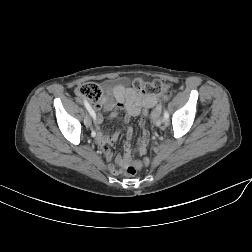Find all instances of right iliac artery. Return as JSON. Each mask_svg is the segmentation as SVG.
<instances>
[{"label":"right iliac artery","instance_id":"82829eb1","mask_svg":"<svg viewBox=\"0 0 252 252\" xmlns=\"http://www.w3.org/2000/svg\"><path fill=\"white\" fill-rule=\"evenodd\" d=\"M83 103H84L85 108L88 110L90 115L93 117V121H96V118H95L96 114H95L94 110L92 109V107L90 106V104L86 100H84ZM91 134H92L93 139L97 138V131L96 130H92Z\"/></svg>","mask_w":252,"mask_h":252}]
</instances>
